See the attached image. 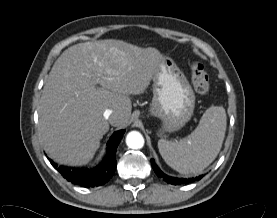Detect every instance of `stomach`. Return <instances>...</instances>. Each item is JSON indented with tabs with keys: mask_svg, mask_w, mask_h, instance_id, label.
I'll use <instances>...</instances> for the list:
<instances>
[{
	"mask_svg": "<svg viewBox=\"0 0 277 218\" xmlns=\"http://www.w3.org/2000/svg\"><path fill=\"white\" fill-rule=\"evenodd\" d=\"M152 80L150 114L162 121L163 132L181 129L191 119L195 107V94L190 83L168 57H163Z\"/></svg>",
	"mask_w": 277,
	"mask_h": 218,
	"instance_id": "obj_1",
	"label": "stomach"
}]
</instances>
